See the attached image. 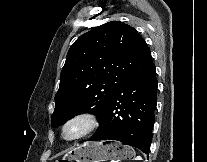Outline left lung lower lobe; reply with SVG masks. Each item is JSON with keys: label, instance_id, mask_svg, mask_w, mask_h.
Here are the masks:
<instances>
[{"label": "left lung lower lobe", "instance_id": "0a47b994", "mask_svg": "<svg viewBox=\"0 0 207 162\" xmlns=\"http://www.w3.org/2000/svg\"><path fill=\"white\" fill-rule=\"evenodd\" d=\"M157 79L150 51L116 89L100 126L88 141L116 140L149 152L157 104Z\"/></svg>", "mask_w": 207, "mask_h": 162}]
</instances>
